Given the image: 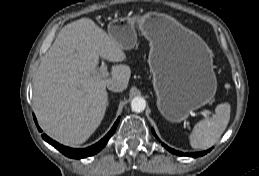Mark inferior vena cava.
Masks as SVG:
<instances>
[{
	"label": "inferior vena cava",
	"instance_id": "1",
	"mask_svg": "<svg viewBox=\"0 0 259 176\" xmlns=\"http://www.w3.org/2000/svg\"><path fill=\"white\" fill-rule=\"evenodd\" d=\"M107 88L109 90H112V91H120V87L119 85L115 84V83H111L110 85L107 86Z\"/></svg>",
	"mask_w": 259,
	"mask_h": 176
}]
</instances>
